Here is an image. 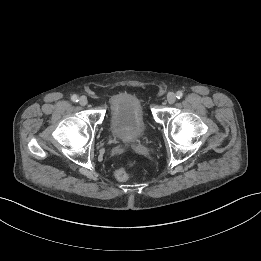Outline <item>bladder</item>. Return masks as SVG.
<instances>
[{"mask_svg":"<svg viewBox=\"0 0 261 261\" xmlns=\"http://www.w3.org/2000/svg\"><path fill=\"white\" fill-rule=\"evenodd\" d=\"M109 129L115 139L123 142H134L145 135L147 123L138 96L122 92L113 97L109 110Z\"/></svg>","mask_w":261,"mask_h":261,"instance_id":"31cf9c89","label":"bladder"}]
</instances>
